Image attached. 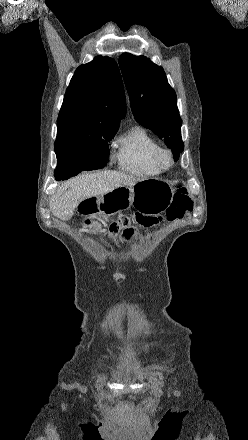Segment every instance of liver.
Instances as JSON below:
<instances>
[{"label": "liver", "instance_id": "6515ba94", "mask_svg": "<svg viewBox=\"0 0 248 440\" xmlns=\"http://www.w3.org/2000/svg\"><path fill=\"white\" fill-rule=\"evenodd\" d=\"M139 181V178L118 171L82 174L60 187L58 194L50 199V209L53 215L67 220L82 201L122 186H134Z\"/></svg>", "mask_w": 248, "mask_h": 440}]
</instances>
